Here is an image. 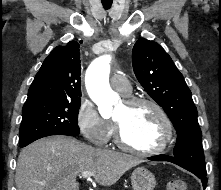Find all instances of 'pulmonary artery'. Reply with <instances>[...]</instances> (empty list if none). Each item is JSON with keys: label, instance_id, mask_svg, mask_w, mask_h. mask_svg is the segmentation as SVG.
Masks as SVG:
<instances>
[{"label": "pulmonary artery", "instance_id": "pulmonary-artery-1", "mask_svg": "<svg viewBox=\"0 0 221 190\" xmlns=\"http://www.w3.org/2000/svg\"><path fill=\"white\" fill-rule=\"evenodd\" d=\"M110 81L112 87L123 95H129L131 93V85L128 78L123 73H114Z\"/></svg>", "mask_w": 221, "mask_h": 190}]
</instances>
